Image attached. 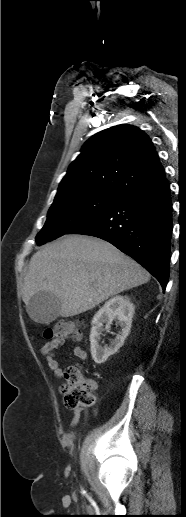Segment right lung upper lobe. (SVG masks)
Returning a JSON list of instances; mask_svg holds the SVG:
<instances>
[{"instance_id":"cb5924a9","label":"right lung upper lobe","mask_w":186,"mask_h":517,"mask_svg":"<svg viewBox=\"0 0 186 517\" xmlns=\"http://www.w3.org/2000/svg\"><path fill=\"white\" fill-rule=\"evenodd\" d=\"M164 177L151 139L137 127L118 125L95 134L84 144L55 198L76 194L121 197Z\"/></svg>"}]
</instances>
